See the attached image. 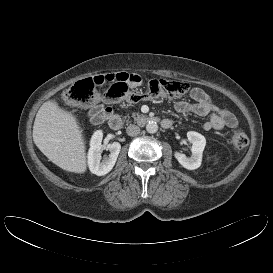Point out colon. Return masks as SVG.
I'll return each instance as SVG.
<instances>
[{
	"mask_svg": "<svg viewBox=\"0 0 273 273\" xmlns=\"http://www.w3.org/2000/svg\"><path fill=\"white\" fill-rule=\"evenodd\" d=\"M138 81V77L128 73H113L85 78L73 84L63 95V101L72 106H91L99 100L98 87L105 88L103 99L109 103L119 101L137 102L143 97L128 89V84ZM189 84L177 80L151 79L147 82L146 96L149 98H175L184 95ZM231 143L237 151L248 145V137L241 131L231 134Z\"/></svg>",
	"mask_w": 273,
	"mask_h": 273,
	"instance_id": "1",
	"label": "colon"
}]
</instances>
